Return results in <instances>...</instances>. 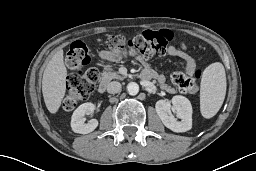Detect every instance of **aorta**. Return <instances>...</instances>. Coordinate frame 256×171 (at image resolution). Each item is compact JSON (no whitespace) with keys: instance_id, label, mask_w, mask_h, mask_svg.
Listing matches in <instances>:
<instances>
[{"instance_id":"762f6f07","label":"aorta","mask_w":256,"mask_h":171,"mask_svg":"<svg viewBox=\"0 0 256 171\" xmlns=\"http://www.w3.org/2000/svg\"><path fill=\"white\" fill-rule=\"evenodd\" d=\"M127 91L130 95L135 96L139 92V85L135 82H130L127 85Z\"/></svg>"}]
</instances>
